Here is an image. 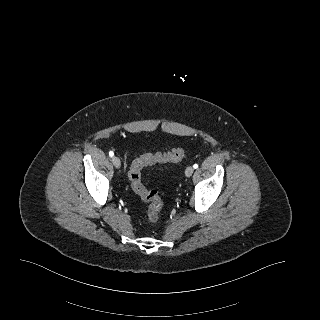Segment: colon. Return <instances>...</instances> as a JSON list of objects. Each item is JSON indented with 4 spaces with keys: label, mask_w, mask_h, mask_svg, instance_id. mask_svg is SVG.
Segmentation results:
<instances>
[{
    "label": "colon",
    "mask_w": 320,
    "mask_h": 320,
    "mask_svg": "<svg viewBox=\"0 0 320 320\" xmlns=\"http://www.w3.org/2000/svg\"><path fill=\"white\" fill-rule=\"evenodd\" d=\"M185 156L183 146H178L169 152L146 153L135 159L129 169L128 176L133 191L148 204L147 217L152 223H155L163 207V201L157 190L147 189L142 183V169L146 166L157 163H176Z\"/></svg>",
    "instance_id": "1"
}]
</instances>
